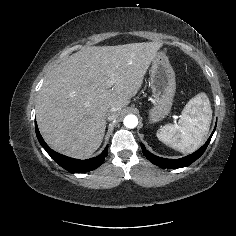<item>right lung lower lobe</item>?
Instances as JSON below:
<instances>
[{"instance_id": "obj_1", "label": "right lung lower lobe", "mask_w": 236, "mask_h": 236, "mask_svg": "<svg viewBox=\"0 0 236 236\" xmlns=\"http://www.w3.org/2000/svg\"><path fill=\"white\" fill-rule=\"evenodd\" d=\"M35 130H36V135L38 138V141L40 142L41 146L46 150V152L51 156V158L59 164L62 168L66 169L67 171L71 173H85L92 171L96 168H98L104 161L105 157L107 156L108 153V146L104 149V151L91 159L87 160H78V159H73L67 156H64L62 154H59L55 151H53L43 140L37 124L35 125Z\"/></svg>"}]
</instances>
